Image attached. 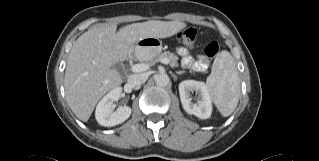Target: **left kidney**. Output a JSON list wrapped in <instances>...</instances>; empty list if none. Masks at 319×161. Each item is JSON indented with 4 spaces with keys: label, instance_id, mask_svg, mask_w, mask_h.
I'll use <instances>...</instances> for the list:
<instances>
[{
    "label": "left kidney",
    "instance_id": "5707ae66",
    "mask_svg": "<svg viewBox=\"0 0 319 161\" xmlns=\"http://www.w3.org/2000/svg\"><path fill=\"white\" fill-rule=\"evenodd\" d=\"M198 93L197 103L192 102L191 92ZM179 94L184 110L201 119H207L212 113L211 98L207 86L203 82L185 80L179 84Z\"/></svg>",
    "mask_w": 319,
    "mask_h": 161
}]
</instances>
